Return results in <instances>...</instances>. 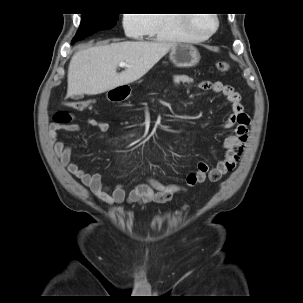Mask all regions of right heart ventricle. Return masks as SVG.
I'll return each mask as SVG.
<instances>
[{"label": "right heart ventricle", "instance_id": "obj_1", "mask_svg": "<svg viewBox=\"0 0 303 303\" xmlns=\"http://www.w3.org/2000/svg\"><path fill=\"white\" fill-rule=\"evenodd\" d=\"M148 28L145 33L148 37H157L166 41H182L191 38L186 27L183 14H150Z\"/></svg>", "mask_w": 303, "mask_h": 303}]
</instances>
